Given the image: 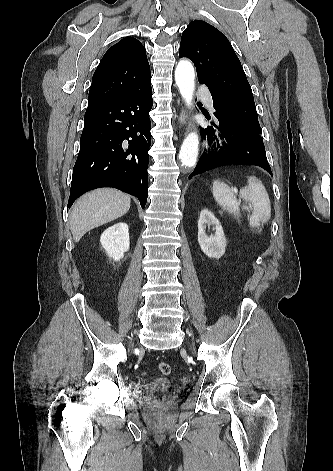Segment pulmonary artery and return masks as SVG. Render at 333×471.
<instances>
[{"label":"pulmonary artery","instance_id":"1","mask_svg":"<svg viewBox=\"0 0 333 471\" xmlns=\"http://www.w3.org/2000/svg\"><path fill=\"white\" fill-rule=\"evenodd\" d=\"M199 93L202 95L205 103L209 106V107H213V100H212V97L211 95L204 89V88H200L199 89Z\"/></svg>","mask_w":333,"mask_h":471}]
</instances>
